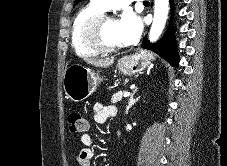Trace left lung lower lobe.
<instances>
[{
    "mask_svg": "<svg viewBox=\"0 0 227 166\" xmlns=\"http://www.w3.org/2000/svg\"><path fill=\"white\" fill-rule=\"evenodd\" d=\"M170 2L172 3V0H170ZM142 47L151 49L172 65L178 66L179 58L172 29H169L164 37L157 43H149L147 39H144Z\"/></svg>",
    "mask_w": 227,
    "mask_h": 166,
    "instance_id": "0a47b994",
    "label": "left lung lower lobe"
}]
</instances>
